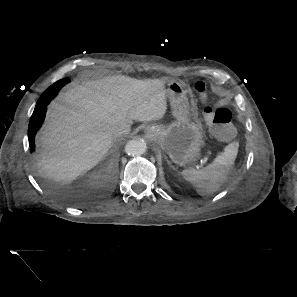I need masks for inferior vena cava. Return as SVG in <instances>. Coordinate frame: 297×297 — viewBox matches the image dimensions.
I'll use <instances>...</instances> for the list:
<instances>
[{
	"instance_id": "602c4592",
	"label": "inferior vena cava",
	"mask_w": 297,
	"mask_h": 297,
	"mask_svg": "<svg viewBox=\"0 0 297 297\" xmlns=\"http://www.w3.org/2000/svg\"><path fill=\"white\" fill-rule=\"evenodd\" d=\"M130 132V126L126 123L117 124L113 127L112 133L115 137H119Z\"/></svg>"
}]
</instances>
